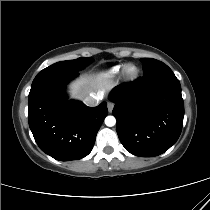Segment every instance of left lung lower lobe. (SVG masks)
<instances>
[{"label": "left lung lower lobe", "mask_w": 210, "mask_h": 210, "mask_svg": "<svg viewBox=\"0 0 210 210\" xmlns=\"http://www.w3.org/2000/svg\"><path fill=\"white\" fill-rule=\"evenodd\" d=\"M109 98L118 137L131 154L157 156L179 138L184 104L180 82L167 65L115 87Z\"/></svg>", "instance_id": "obj_1"}]
</instances>
